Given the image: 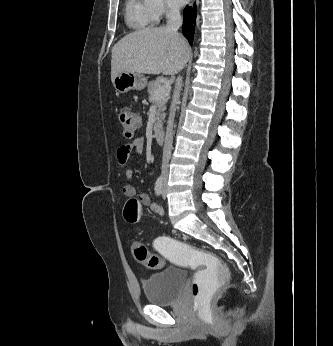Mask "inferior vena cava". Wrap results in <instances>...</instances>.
<instances>
[{
  "mask_svg": "<svg viewBox=\"0 0 333 346\" xmlns=\"http://www.w3.org/2000/svg\"><path fill=\"white\" fill-rule=\"evenodd\" d=\"M167 25L166 28L172 32H177L179 27L182 25V18L180 15L179 8L176 6H169L166 13ZM182 88V77L178 76L176 79L173 101L170 107V114L167 122L165 142L163 147V158H162V174L166 176L168 174L169 161L171 158L172 144H173V125L176 112V105L179 100L180 91Z\"/></svg>",
  "mask_w": 333,
  "mask_h": 346,
  "instance_id": "obj_1",
  "label": "inferior vena cava"
}]
</instances>
